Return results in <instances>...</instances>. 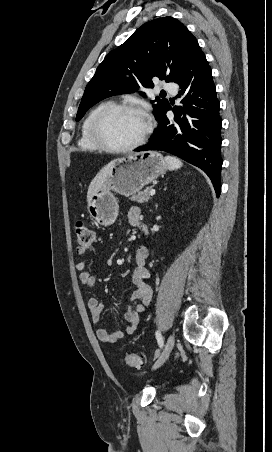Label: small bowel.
Returning a JSON list of instances; mask_svg holds the SVG:
<instances>
[{
    "mask_svg": "<svg viewBox=\"0 0 272 452\" xmlns=\"http://www.w3.org/2000/svg\"><path fill=\"white\" fill-rule=\"evenodd\" d=\"M140 209L137 206H131L128 209V221L132 226H138L140 221ZM148 258V250L145 247H139L135 254L136 267L132 274V284L134 290L131 293V301L141 300L142 303L137 306H130L124 315L125 325L117 331L109 332L102 327H97V338L106 343H115L118 340L132 335L139 326L140 314L146 309L152 298V289L147 284L146 280L149 278V271L146 267ZM79 271V281L82 285L92 287L97 279V274L88 271L84 262H79L76 265ZM87 308L91 315L93 324L99 325L101 320V312L103 309L102 303L97 298H90L87 302Z\"/></svg>",
    "mask_w": 272,
    "mask_h": 452,
    "instance_id": "obj_1",
    "label": "small bowel"
}]
</instances>
